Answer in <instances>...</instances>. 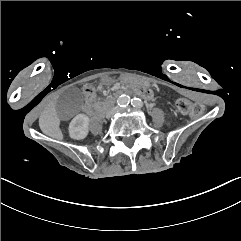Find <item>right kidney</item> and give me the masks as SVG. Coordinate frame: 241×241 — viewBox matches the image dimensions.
<instances>
[{
    "instance_id": "right-kidney-1",
    "label": "right kidney",
    "mask_w": 241,
    "mask_h": 241,
    "mask_svg": "<svg viewBox=\"0 0 241 241\" xmlns=\"http://www.w3.org/2000/svg\"><path fill=\"white\" fill-rule=\"evenodd\" d=\"M90 118L86 114L76 115L68 127V135L73 140H84L89 134Z\"/></svg>"
}]
</instances>
